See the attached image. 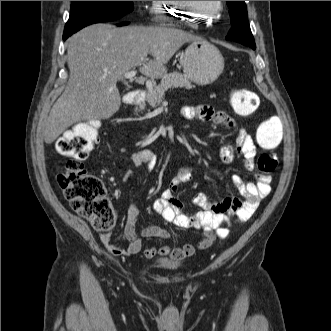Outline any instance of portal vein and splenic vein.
Returning a JSON list of instances; mask_svg holds the SVG:
<instances>
[{
  "mask_svg": "<svg viewBox=\"0 0 331 331\" xmlns=\"http://www.w3.org/2000/svg\"><path fill=\"white\" fill-rule=\"evenodd\" d=\"M136 74H137V71L136 70H132V71H129V72L125 73L123 76L126 79H132V78H134L136 76Z\"/></svg>",
  "mask_w": 331,
  "mask_h": 331,
  "instance_id": "portal-vein-and-splenic-vein-1",
  "label": "portal vein and splenic vein"
}]
</instances>
